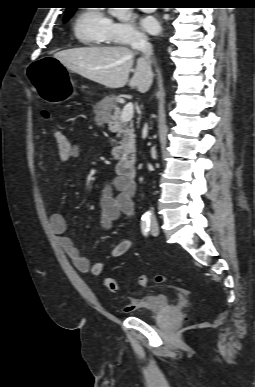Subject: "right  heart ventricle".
Here are the masks:
<instances>
[{
  "instance_id": "e07e8e85",
  "label": "right heart ventricle",
  "mask_w": 255,
  "mask_h": 387,
  "mask_svg": "<svg viewBox=\"0 0 255 387\" xmlns=\"http://www.w3.org/2000/svg\"><path fill=\"white\" fill-rule=\"evenodd\" d=\"M110 20L101 9H86L78 14L73 24L75 37L84 45L101 46L108 44Z\"/></svg>"
}]
</instances>
